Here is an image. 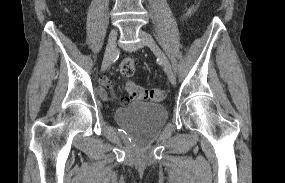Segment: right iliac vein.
<instances>
[{
  "mask_svg": "<svg viewBox=\"0 0 285 183\" xmlns=\"http://www.w3.org/2000/svg\"><path fill=\"white\" fill-rule=\"evenodd\" d=\"M117 36H118V31L116 29L111 30L108 38L104 59L102 62V70L107 69V67L111 64V61L113 60L116 54Z\"/></svg>",
  "mask_w": 285,
  "mask_h": 183,
  "instance_id": "1",
  "label": "right iliac vein"
}]
</instances>
